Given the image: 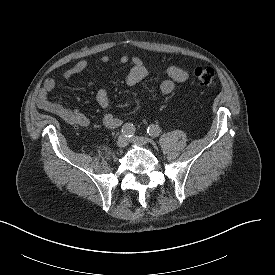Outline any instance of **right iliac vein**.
<instances>
[{
    "instance_id": "63e3f726",
    "label": "right iliac vein",
    "mask_w": 275,
    "mask_h": 275,
    "mask_svg": "<svg viewBox=\"0 0 275 275\" xmlns=\"http://www.w3.org/2000/svg\"><path fill=\"white\" fill-rule=\"evenodd\" d=\"M129 143V139L126 135L124 134H121L119 137H118V140H117V146L120 147V148H123L125 146H127Z\"/></svg>"
}]
</instances>
